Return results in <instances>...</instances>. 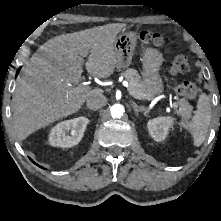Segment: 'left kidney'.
I'll return each mask as SVG.
<instances>
[{
    "label": "left kidney",
    "mask_w": 221,
    "mask_h": 221,
    "mask_svg": "<svg viewBox=\"0 0 221 221\" xmlns=\"http://www.w3.org/2000/svg\"><path fill=\"white\" fill-rule=\"evenodd\" d=\"M173 120L174 119L170 116L157 117L149 120L147 123V128L151 137L158 142L165 140Z\"/></svg>",
    "instance_id": "obj_1"
}]
</instances>
